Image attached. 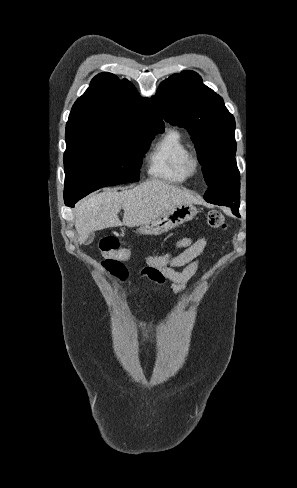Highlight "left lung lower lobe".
<instances>
[{
  "instance_id": "left-lung-lower-lobe-1",
  "label": "left lung lower lobe",
  "mask_w": 297,
  "mask_h": 488,
  "mask_svg": "<svg viewBox=\"0 0 297 488\" xmlns=\"http://www.w3.org/2000/svg\"><path fill=\"white\" fill-rule=\"evenodd\" d=\"M235 215L239 217V213H235Z\"/></svg>"
}]
</instances>
